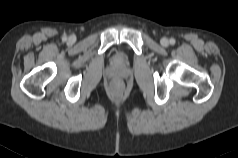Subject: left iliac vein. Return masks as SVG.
Returning <instances> with one entry per match:
<instances>
[{"instance_id":"obj_1","label":"left iliac vein","mask_w":238,"mask_h":158,"mask_svg":"<svg viewBox=\"0 0 238 158\" xmlns=\"http://www.w3.org/2000/svg\"><path fill=\"white\" fill-rule=\"evenodd\" d=\"M161 45L166 47L169 45V40L167 38H162L161 39Z\"/></svg>"}]
</instances>
